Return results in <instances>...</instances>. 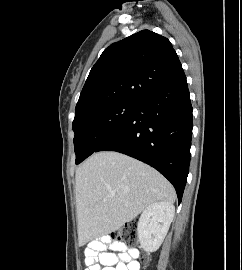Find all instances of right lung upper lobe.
<instances>
[{
    "mask_svg": "<svg viewBox=\"0 0 242 270\" xmlns=\"http://www.w3.org/2000/svg\"><path fill=\"white\" fill-rule=\"evenodd\" d=\"M182 70L170 41L142 30L111 44L92 67L75 116L118 100L137 101Z\"/></svg>",
    "mask_w": 242,
    "mask_h": 270,
    "instance_id": "obj_1",
    "label": "right lung upper lobe"
}]
</instances>
